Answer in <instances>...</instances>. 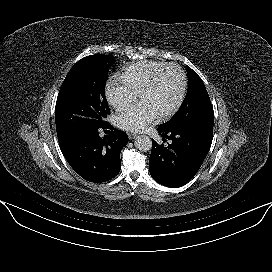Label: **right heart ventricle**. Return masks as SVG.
<instances>
[{"mask_svg": "<svg viewBox=\"0 0 272 272\" xmlns=\"http://www.w3.org/2000/svg\"><path fill=\"white\" fill-rule=\"evenodd\" d=\"M166 64L163 61L140 60L124 67L120 79L135 94H139L154 74Z\"/></svg>", "mask_w": 272, "mask_h": 272, "instance_id": "1", "label": "right heart ventricle"}]
</instances>
